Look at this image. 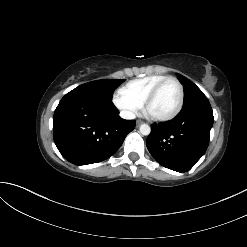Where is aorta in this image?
Segmentation results:
<instances>
[{
  "instance_id": "aorta-1",
  "label": "aorta",
  "mask_w": 247,
  "mask_h": 247,
  "mask_svg": "<svg viewBox=\"0 0 247 247\" xmlns=\"http://www.w3.org/2000/svg\"><path fill=\"white\" fill-rule=\"evenodd\" d=\"M139 130H140V133L142 135H145V136L149 135L150 132H151V128H150V126L148 124H142L140 126Z\"/></svg>"
}]
</instances>
